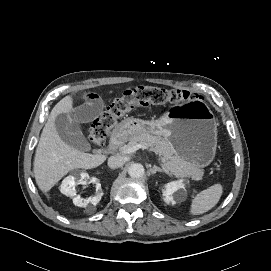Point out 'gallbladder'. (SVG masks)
<instances>
[{
	"mask_svg": "<svg viewBox=\"0 0 271 271\" xmlns=\"http://www.w3.org/2000/svg\"><path fill=\"white\" fill-rule=\"evenodd\" d=\"M55 124L59 136L66 144L80 151H89L91 149V145L83 135L79 123L67 119L64 115H58Z\"/></svg>",
	"mask_w": 271,
	"mask_h": 271,
	"instance_id": "gallbladder-1",
	"label": "gallbladder"
}]
</instances>
